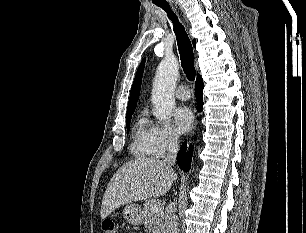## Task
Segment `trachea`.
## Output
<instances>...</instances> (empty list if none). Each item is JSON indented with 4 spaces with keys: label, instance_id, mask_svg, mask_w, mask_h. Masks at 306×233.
Instances as JSON below:
<instances>
[{
    "label": "trachea",
    "instance_id": "obj_1",
    "mask_svg": "<svg viewBox=\"0 0 306 233\" xmlns=\"http://www.w3.org/2000/svg\"><path fill=\"white\" fill-rule=\"evenodd\" d=\"M157 6L161 7L164 11L167 12V15L170 20L174 23V32L176 34L178 47H179V54L181 58V64L183 71L187 78L190 81L195 79V67H194V54L193 48L188 37V34L185 31V28L179 23L177 16L171 10L169 4H156Z\"/></svg>",
    "mask_w": 306,
    "mask_h": 233
}]
</instances>
